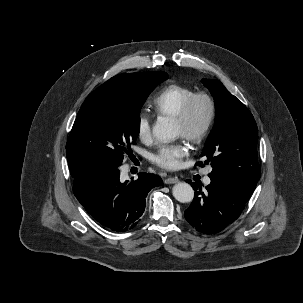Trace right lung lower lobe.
Listing matches in <instances>:
<instances>
[{"mask_svg": "<svg viewBox=\"0 0 303 303\" xmlns=\"http://www.w3.org/2000/svg\"><path fill=\"white\" fill-rule=\"evenodd\" d=\"M73 177V193L87 212L101 225L126 232L140 221L150 189L162 179L154 174L139 173L135 181L120 182L118 167L92 164Z\"/></svg>", "mask_w": 303, "mask_h": 303, "instance_id": "right-lung-lower-lobe-1", "label": "right lung lower lobe"}]
</instances>
